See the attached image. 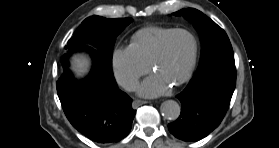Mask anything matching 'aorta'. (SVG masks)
<instances>
[{"mask_svg":"<svg viewBox=\"0 0 279 148\" xmlns=\"http://www.w3.org/2000/svg\"><path fill=\"white\" fill-rule=\"evenodd\" d=\"M162 115L169 120H176L180 115V105L174 100H167L161 104Z\"/></svg>","mask_w":279,"mask_h":148,"instance_id":"obj_1","label":"aorta"}]
</instances>
